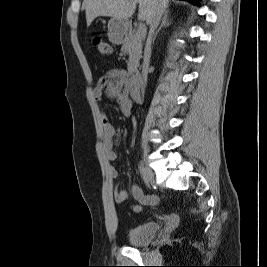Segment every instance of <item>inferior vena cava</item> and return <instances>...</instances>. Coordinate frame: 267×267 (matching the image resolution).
<instances>
[{"mask_svg":"<svg viewBox=\"0 0 267 267\" xmlns=\"http://www.w3.org/2000/svg\"><path fill=\"white\" fill-rule=\"evenodd\" d=\"M162 15V11L160 9L157 10V12L153 15L151 21H150V30L147 37L145 50H144V61H143V69H142V91L144 93L145 84L147 81V74H148V67L151 57V44L153 40V36L155 34V30L159 25V21Z\"/></svg>","mask_w":267,"mask_h":267,"instance_id":"obj_1","label":"inferior vena cava"}]
</instances>
